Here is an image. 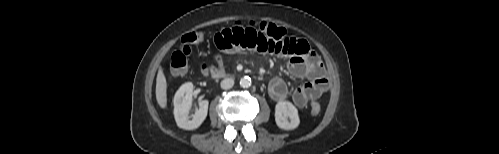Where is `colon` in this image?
I'll return each mask as SVG.
<instances>
[{
	"label": "colon",
	"mask_w": 499,
	"mask_h": 154,
	"mask_svg": "<svg viewBox=\"0 0 499 154\" xmlns=\"http://www.w3.org/2000/svg\"><path fill=\"white\" fill-rule=\"evenodd\" d=\"M253 25L268 37L277 41L285 40L289 36L284 28L270 22L263 21ZM201 38V34L197 32H189L181 38L180 48L176 50L171 56L170 70L174 76H180L187 72L188 58L191 54L192 46L198 43ZM320 112V103L317 101L312 102L311 114L318 115Z\"/></svg>",
	"instance_id": "colon-1"
}]
</instances>
